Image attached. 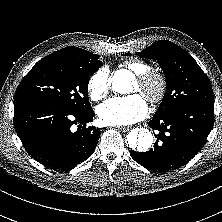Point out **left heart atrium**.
Here are the masks:
<instances>
[{"mask_svg":"<svg viewBox=\"0 0 222 222\" xmlns=\"http://www.w3.org/2000/svg\"><path fill=\"white\" fill-rule=\"evenodd\" d=\"M100 121L106 125H129L145 118L148 105L145 98L135 93L126 97H115L97 107Z\"/></svg>","mask_w":222,"mask_h":222,"instance_id":"39dd6f15","label":"left heart atrium"}]
</instances>
